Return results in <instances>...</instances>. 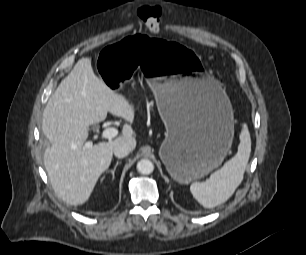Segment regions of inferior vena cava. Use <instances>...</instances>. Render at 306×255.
<instances>
[{"label":"inferior vena cava","mask_w":306,"mask_h":255,"mask_svg":"<svg viewBox=\"0 0 306 255\" xmlns=\"http://www.w3.org/2000/svg\"><path fill=\"white\" fill-rule=\"evenodd\" d=\"M132 150L133 146L130 143L123 141L114 147L113 153L117 158H124L128 156Z\"/></svg>","instance_id":"1"}]
</instances>
